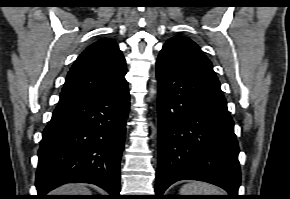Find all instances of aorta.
<instances>
[{
	"instance_id": "762f6f07",
	"label": "aorta",
	"mask_w": 290,
	"mask_h": 199,
	"mask_svg": "<svg viewBox=\"0 0 290 199\" xmlns=\"http://www.w3.org/2000/svg\"><path fill=\"white\" fill-rule=\"evenodd\" d=\"M156 93V90L154 89V87L152 86L150 88V95L153 96Z\"/></svg>"
}]
</instances>
